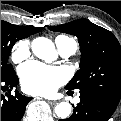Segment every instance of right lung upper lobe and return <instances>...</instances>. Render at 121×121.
<instances>
[{
  "label": "right lung upper lobe",
  "instance_id": "obj_1",
  "mask_svg": "<svg viewBox=\"0 0 121 121\" xmlns=\"http://www.w3.org/2000/svg\"><path fill=\"white\" fill-rule=\"evenodd\" d=\"M28 31L29 36L33 35L41 30L40 27H25Z\"/></svg>",
  "mask_w": 121,
  "mask_h": 121
}]
</instances>
